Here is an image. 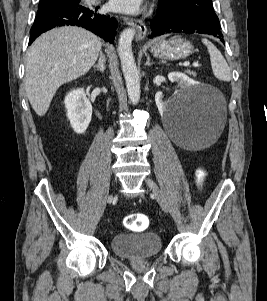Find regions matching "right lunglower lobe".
Wrapping results in <instances>:
<instances>
[{"label": "right lung lower lobe", "instance_id": "1", "mask_svg": "<svg viewBox=\"0 0 267 301\" xmlns=\"http://www.w3.org/2000/svg\"><path fill=\"white\" fill-rule=\"evenodd\" d=\"M99 7L83 6L80 1L62 5L59 8L37 13L30 30V43L41 33L56 26L76 25L86 28L105 41L114 43L118 22L115 18L99 14Z\"/></svg>", "mask_w": 267, "mask_h": 301}]
</instances>
